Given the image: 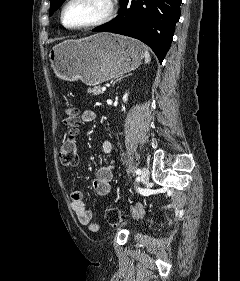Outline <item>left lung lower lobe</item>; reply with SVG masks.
<instances>
[{
	"instance_id": "1",
	"label": "left lung lower lobe",
	"mask_w": 240,
	"mask_h": 281,
	"mask_svg": "<svg viewBox=\"0 0 240 281\" xmlns=\"http://www.w3.org/2000/svg\"><path fill=\"white\" fill-rule=\"evenodd\" d=\"M181 0H120L118 15L92 31L130 36L152 48L162 63L170 49Z\"/></svg>"
}]
</instances>
